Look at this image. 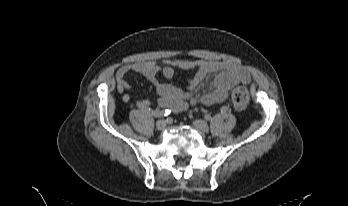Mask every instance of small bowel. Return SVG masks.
<instances>
[{
  "instance_id": "1",
  "label": "small bowel",
  "mask_w": 348,
  "mask_h": 206,
  "mask_svg": "<svg viewBox=\"0 0 348 206\" xmlns=\"http://www.w3.org/2000/svg\"><path fill=\"white\" fill-rule=\"evenodd\" d=\"M176 68L193 71L186 89H181L169 83H162L157 76L170 79ZM140 74L153 83L159 95L158 105L161 108L171 109L173 112H181L190 105L210 106L227 100L229 92L237 83L249 84L251 76L247 70L236 63L217 60H184L168 59L162 62L137 61L122 65L116 72L117 89L123 93V102L130 103V95L126 92L130 89L128 78ZM214 75L212 88L201 94H196L203 80ZM132 107L147 111L150 101L137 100Z\"/></svg>"
}]
</instances>
